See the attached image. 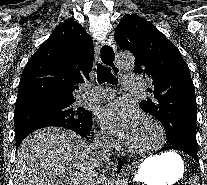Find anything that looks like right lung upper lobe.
<instances>
[{
    "label": "right lung upper lobe",
    "mask_w": 207,
    "mask_h": 185,
    "mask_svg": "<svg viewBox=\"0 0 207 185\" xmlns=\"http://www.w3.org/2000/svg\"><path fill=\"white\" fill-rule=\"evenodd\" d=\"M93 59L86 30L73 20L60 23L27 62L15 111L43 104L72 105L75 84L89 79Z\"/></svg>",
    "instance_id": "right-lung-upper-lobe-1"
}]
</instances>
